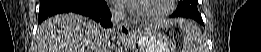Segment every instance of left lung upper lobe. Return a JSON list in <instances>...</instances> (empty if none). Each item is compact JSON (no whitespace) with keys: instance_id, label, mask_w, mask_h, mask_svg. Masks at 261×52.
Returning a JSON list of instances; mask_svg holds the SVG:
<instances>
[{"instance_id":"left-lung-upper-lobe-1","label":"left lung upper lobe","mask_w":261,"mask_h":52,"mask_svg":"<svg viewBox=\"0 0 261 52\" xmlns=\"http://www.w3.org/2000/svg\"><path fill=\"white\" fill-rule=\"evenodd\" d=\"M197 3V0H181L175 13L182 17L192 18L198 22L203 21L197 9Z\"/></svg>"}]
</instances>
